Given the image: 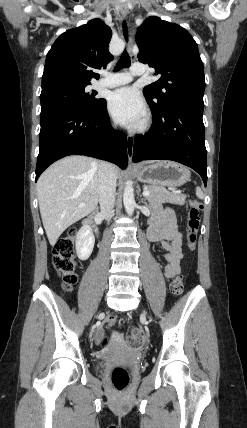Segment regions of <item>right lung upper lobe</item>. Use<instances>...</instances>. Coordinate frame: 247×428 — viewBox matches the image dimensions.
I'll list each match as a JSON object with an SVG mask.
<instances>
[{"label": "right lung upper lobe", "instance_id": "obj_1", "mask_svg": "<svg viewBox=\"0 0 247 428\" xmlns=\"http://www.w3.org/2000/svg\"><path fill=\"white\" fill-rule=\"evenodd\" d=\"M110 28L100 19L61 34L47 53L42 92L62 86H87L100 69L113 59L108 45Z\"/></svg>", "mask_w": 247, "mask_h": 428}]
</instances>
